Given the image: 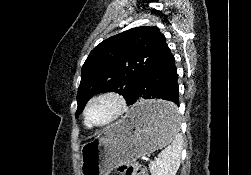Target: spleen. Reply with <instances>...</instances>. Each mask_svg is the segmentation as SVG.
Wrapping results in <instances>:
<instances>
[{
	"label": "spleen",
	"instance_id": "1",
	"mask_svg": "<svg viewBox=\"0 0 251 175\" xmlns=\"http://www.w3.org/2000/svg\"><path fill=\"white\" fill-rule=\"evenodd\" d=\"M168 115L174 117V121H169L173 131L172 145H167L166 149L159 153L156 161L149 163L152 175H175L177 169H179L183 141L181 133H178V113L176 109H170ZM168 119H171V117H168Z\"/></svg>",
	"mask_w": 251,
	"mask_h": 175
}]
</instances>
